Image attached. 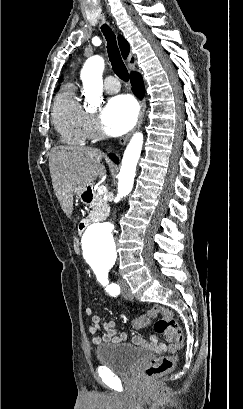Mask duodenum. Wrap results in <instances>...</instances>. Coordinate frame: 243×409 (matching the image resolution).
<instances>
[{"label":"duodenum","instance_id":"obj_1","mask_svg":"<svg viewBox=\"0 0 243 409\" xmlns=\"http://www.w3.org/2000/svg\"><path fill=\"white\" fill-rule=\"evenodd\" d=\"M93 199V193L91 190H87L83 196V200L86 203H91ZM89 221L85 220L80 224V231L83 232L85 230V228L88 226Z\"/></svg>","mask_w":243,"mask_h":409}]
</instances>
